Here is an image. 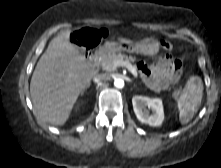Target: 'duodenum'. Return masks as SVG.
Segmentation results:
<instances>
[{
    "label": "duodenum",
    "mask_w": 221,
    "mask_h": 168,
    "mask_svg": "<svg viewBox=\"0 0 221 168\" xmlns=\"http://www.w3.org/2000/svg\"><path fill=\"white\" fill-rule=\"evenodd\" d=\"M100 57H101V51H95L93 53H90L88 55V61L90 63V65L92 66H96L98 65L99 61H100Z\"/></svg>",
    "instance_id": "1"
}]
</instances>
